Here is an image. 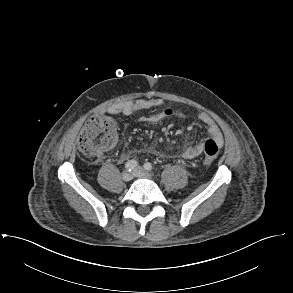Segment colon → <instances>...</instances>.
<instances>
[{
    "label": "colon",
    "instance_id": "colon-1",
    "mask_svg": "<svg viewBox=\"0 0 293 293\" xmlns=\"http://www.w3.org/2000/svg\"><path fill=\"white\" fill-rule=\"evenodd\" d=\"M117 139L116 125L112 117L107 114L90 116L77 141L78 151L92 159H97L102 150L111 147ZM204 162L211 163L219 155L220 146L209 139L205 143Z\"/></svg>",
    "mask_w": 293,
    "mask_h": 293
}]
</instances>
